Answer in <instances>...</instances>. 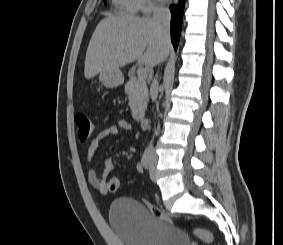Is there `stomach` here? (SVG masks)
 Listing matches in <instances>:
<instances>
[{
    "instance_id": "1",
    "label": "stomach",
    "mask_w": 283,
    "mask_h": 245,
    "mask_svg": "<svg viewBox=\"0 0 283 245\" xmlns=\"http://www.w3.org/2000/svg\"><path fill=\"white\" fill-rule=\"evenodd\" d=\"M99 79L108 88H114L123 83V74L119 68L104 69L99 74Z\"/></svg>"
}]
</instances>
